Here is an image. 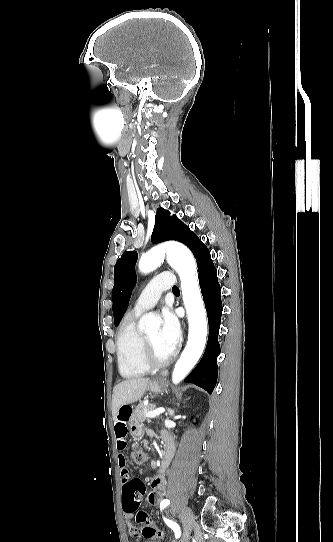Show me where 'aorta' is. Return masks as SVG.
Here are the masks:
<instances>
[{
	"label": "aorta",
	"instance_id": "1",
	"mask_svg": "<svg viewBox=\"0 0 333 542\" xmlns=\"http://www.w3.org/2000/svg\"><path fill=\"white\" fill-rule=\"evenodd\" d=\"M165 252L170 266L179 274L189 324L188 342L172 372L173 384H179L188 376L203 354L207 338V320L197 282L196 262L192 252L177 242L166 244ZM162 262L161 248L150 250L148 254H144L140 258L139 270L143 274H149L159 268ZM155 324H157V318L152 314H146L141 318L139 328L147 330Z\"/></svg>",
	"mask_w": 333,
	"mask_h": 542
}]
</instances>
